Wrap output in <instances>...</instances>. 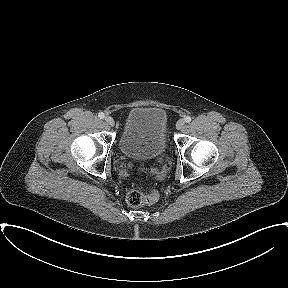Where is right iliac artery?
Segmentation results:
<instances>
[{"label":"right iliac artery","instance_id":"1","mask_svg":"<svg viewBox=\"0 0 288 288\" xmlns=\"http://www.w3.org/2000/svg\"><path fill=\"white\" fill-rule=\"evenodd\" d=\"M98 117H99L100 119H103V118L105 117V115H104V113L100 112V113L98 114Z\"/></svg>","mask_w":288,"mask_h":288}]
</instances>
